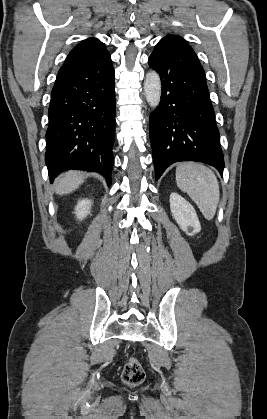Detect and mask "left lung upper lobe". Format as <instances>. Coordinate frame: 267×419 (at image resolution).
<instances>
[{"instance_id":"obj_1","label":"left lung upper lobe","mask_w":267,"mask_h":419,"mask_svg":"<svg viewBox=\"0 0 267 419\" xmlns=\"http://www.w3.org/2000/svg\"><path fill=\"white\" fill-rule=\"evenodd\" d=\"M161 41L177 42V43H180L182 45H185V46L189 47V45L187 44V42L183 38L175 36V35H168V36L164 37Z\"/></svg>"}]
</instances>
